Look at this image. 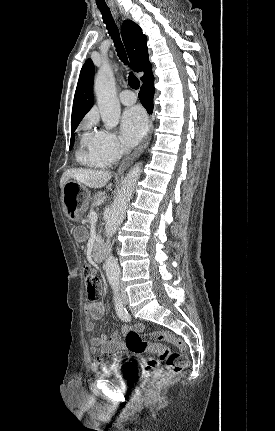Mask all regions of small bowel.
<instances>
[{"label": "small bowel", "mask_w": 275, "mask_h": 431, "mask_svg": "<svg viewBox=\"0 0 275 431\" xmlns=\"http://www.w3.org/2000/svg\"><path fill=\"white\" fill-rule=\"evenodd\" d=\"M74 237L78 242L87 240V233L82 228H77L74 231ZM85 328L90 337V352L98 355L96 365L106 366L107 364L100 363L99 357L102 355L109 356L110 362H118L121 360L125 345L118 333H113L110 337L102 333L99 336H94L97 321L104 315V305L99 301H92L85 306ZM136 330L142 331L144 326L139 324L135 326Z\"/></svg>", "instance_id": "1"}]
</instances>
